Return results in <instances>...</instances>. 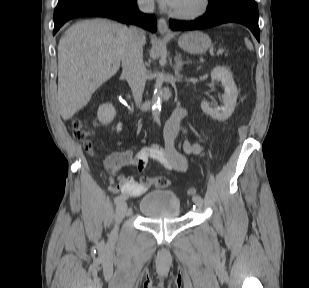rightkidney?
Segmentation results:
<instances>
[{"label":"right kidney","mask_w":309,"mask_h":288,"mask_svg":"<svg viewBox=\"0 0 309 288\" xmlns=\"http://www.w3.org/2000/svg\"><path fill=\"white\" fill-rule=\"evenodd\" d=\"M116 114L115 108L112 104L106 103L99 107L97 118L102 124L110 123Z\"/></svg>","instance_id":"right-kidney-1"}]
</instances>
